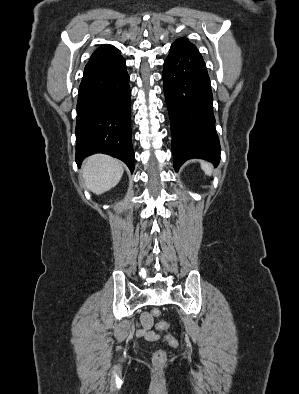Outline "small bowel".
Wrapping results in <instances>:
<instances>
[{
    "label": "small bowel",
    "instance_id": "1",
    "mask_svg": "<svg viewBox=\"0 0 299 394\" xmlns=\"http://www.w3.org/2000/svg\"><path fill=\"white\" fill-rule=\"evenodd\" d=\"M141 327L137 331V335L141 338H144L146 341H157L160 338V332H155L152 330L153 326V318L149 313H144L141 317L140 321ZM158 327V325H157ZM158 329H160L158 327Z\"/></svg>",
    "mask_w": 299,
    "mask_h": 394
}]
</instances>
